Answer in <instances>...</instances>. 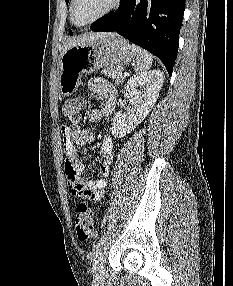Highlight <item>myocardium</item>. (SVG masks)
Masks as SVG:
<instances>
[{
	"label": "myocardium",
	"mask_w": 233,
	"mask_h": 286,
	"mask_svg": "<svg viewBox=\"0 0 233 286\" xmlns=\"http://www.w3.org/2000/svg\"><path fill=\"white\" fill-rule=\"evenodd\" d=\"M75 4H76V0H71L70 19H71L72 23L77 27H87V26H90V25L94 24L95 22L101 20L102 18H104L105 16L109 15L111 12L116 10L121 4V0H113L110 7H108L104 12H102L100 15H98L97 17H95L91 21L86 22V23H82V24L78 23L75 20V17H74Z\"/></svg>",
	"instance_id": "myocardium-1"
}]
</instances>
